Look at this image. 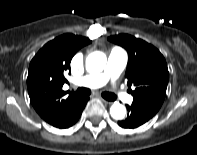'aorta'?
Here are the masks:
<instances>
[{
  "label": "aorta",
  "instance_id": "762f6f07",
  "mask_svg": "<svg viewBox=\"0 0 197 155\" xmlns=\"http://www.w3.org/2000/svg\"><path fill=\"white\" fill-rule=\"evenodd\" d=\"M86 70L89 73H99L106 65V56L100 51H95L86 58ZM126 108L122 104L115 102L110 107V115L113 119L121 120L125 117Z\"/></svg>",
  "mask_w": 197,
  "mask_h": 155
}]
</instances>
